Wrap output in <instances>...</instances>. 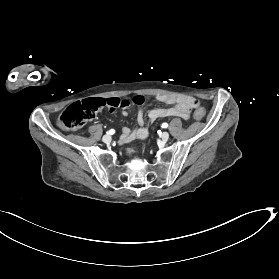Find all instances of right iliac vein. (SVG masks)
<instances>
[{"label":"right iliac vein","instance_id":"1","mask_svg":"<svg viewBox=\"0 0 279 279\" xmlns=\"http://www.w3.org/2000/svg\"><path fill=\"white\" fill-rule=\"evenodd\" d=\"M111 136L110 135H104L103 138H102V141L104 143H110L111 142Z\"/></svg>","mask_w":279,"mask_h":279}]
</instances>
